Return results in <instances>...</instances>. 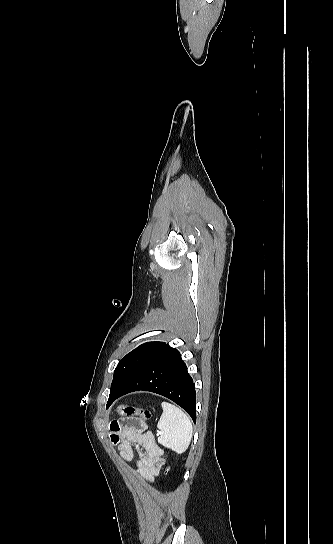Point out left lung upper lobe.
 <instances>
[{
	"mask_svg": "<svg viewBox=\"0 0 333 544\" xmlns=\"http://www.w3.org/2000/svg\"><path fill=\"white\" fill-rule=\"evenodd\" d=\"M165 345L164 342H148L123 357L114 371L110 393L121 390L143 365Z\"/></svg>",
	"mask_w": 333,
	"mask_h": 544,
	"instance_id": "1",
	"label": "left lung upper lobe"
}]
</instances>
